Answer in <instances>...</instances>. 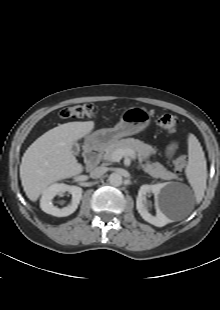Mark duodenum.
<instances>
[{
	"instance_id": "obj_1",
	"label": "duodenum",
	"mask_w": 220,
	"mask_h": 310,
	"mask_svg": "<svg viewBox=\"0 0 220 310\" xmlns=\"http://www.w3.org/2000/svg\"><path fill=\"white\" fill-rule=\"evenodd\" d=\"M102 148L99 145L90 147L85 153V166L88 171L93 170L101 159Z\"/></svg>"
}]
</instances>
